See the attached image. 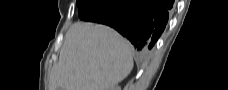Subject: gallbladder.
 <instances>
[{"label":"gallbladder","instance_id":"bac80fb5","mask_svg":"<svg viewBox=\"0 0 228 90\" xmlns=\"http://www.w3.org/2000/svg\"><path fill=\"white\" fill-rule=\"evenodd\" d=\"M59 90H64V89H62V88H59Z\"/></svg>","mask_w":228,"mask_h":90}]
</instances>
